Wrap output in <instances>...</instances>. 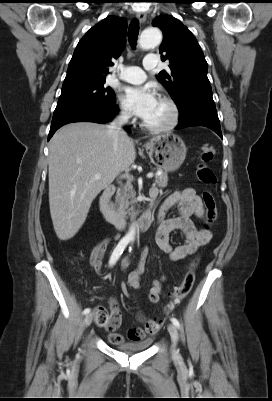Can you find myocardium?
<instances>
[{
  "label": "myocardium",
  "mask_w": 272,
  "mask_h": 401,
  "mask_svg": "<svg viewBox=\"0 0 272 401\" xmlns=\"http://www.w3.org/2000/svg\"><path fill=\"white\" fill-rule=\"evenodd\" d=\"M163 102H165L170 108V119L161 125H151L146 123L144 120L141 122V126L143 129L154 132V133H161V132H168L173 130L180 121V109L176 101L168 96V95H160L159 98Z\"/></svg>",
  "instance_id": "f54148a6"
}]
</instances>
